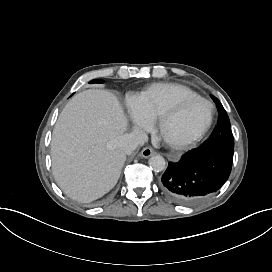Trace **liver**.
I'll return each instance as SVG.
<instances>
[{"instance_id": "1", "label": "liver", "mask_w": 272, "mask_h": 272, "mask_svg": "<svg viewBox=\"0 0 272 272\" xmlns=\"http://www.w3.org/2000/svg\"><path fill=\"white\" fill-rule=\"evenodd\" d=\"M127 122L117 98L105 90H87L64 107L51 143L52 171L72 199L91 202L116 185L126 154L117 140Z\"/></svg>"}]
</instances>
